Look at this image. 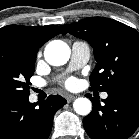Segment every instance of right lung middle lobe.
Returning a JSON list of instances; mask_svg holds the SVG:
<instances>
[{
	"label": "right lung middle lobe",
	"instance_id": "1",
	"mask_svg": "<svg viewBox=\"0 0 139 139\" xmlns=\"http://www.w3.org/2000/svg\"><path fill=\"white\" fill-rule=\"evenodd\" d=\"M36 52L9 42H0V96L29 97Z\"/></svg>",
	"mask_w": 139,
	"mask_h": 139
}]
</instances>
